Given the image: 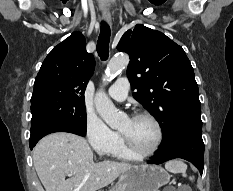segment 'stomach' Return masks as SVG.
<instances>
[{
	"instance_id": "1",
	"label": "stomach",
	"mask_w": 233,
	"mask_h": 191,
	"mask_svg": "<svg viewBox=\"0 0 233 191\" xmlns=\"http://www.w3.org/2000/svg\"><path fill=\"white\" fill-rule=\"evenodd\" d=\"M170 175L161 166L134 165L123 172L115 185L119 191H159L167 184Z\"/></svg>"
}]
</instances>
